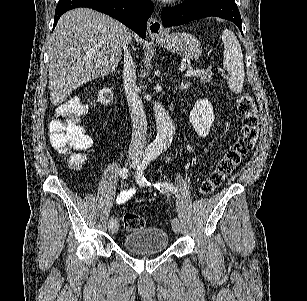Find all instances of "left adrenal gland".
Here are the masks:
<instances>
[{
  "instance_id": "a2214340",
  "label": "left adrenal gland",
  "mask_w": 307,
  "mask_h": 301,
  "mask_svg": "<svg viewBox=\"0 0 307 301\" xmlns=\"http://www.w3.org/2000/svg\"><path fill=\"white\" fill-rule=\"evenodd\" d=\"M190 82H181V88H188Z\"/></svg>"
}]
</instances>
